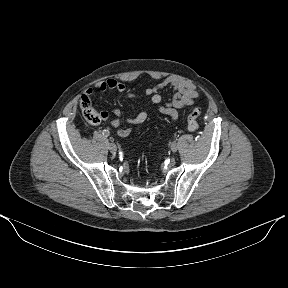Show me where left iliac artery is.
Wrapping results in <instances>:
<instances>
[{"mask_svg":"<svg viewBox=\"0 0 288 288\" xmlns=\"http://www.w3.org/2000/svg\"><path fill=\"white\" fill-rule=\"evenodd\" d=\"M177 141H178V136L177 135H172L171 138L168 140V143L170 145H173Z\"/></svg>","mask_w":288,"mask_h":288,"instance_id":"1","label":"left iliac artery"}]
</instances>
